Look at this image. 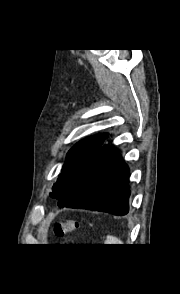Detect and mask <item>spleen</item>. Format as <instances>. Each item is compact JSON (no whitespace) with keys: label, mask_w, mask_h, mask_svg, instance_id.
I'll return each mask as SVG.
<instances>
[{"label":"spleen","mask_w":180,"mask_h":294,"mask_svg":"<svg viewBox=\"0 0 180 294\" xmlns=\"http://www.w3.org/2000/svg\"><path fill=\"white\" fill-rule=\"evenodd\" d=\"M106 244H122V242L116 237L107 236Z\"/></svg>","instance_id":"spleen-1"}]
</instances>
